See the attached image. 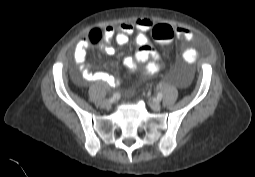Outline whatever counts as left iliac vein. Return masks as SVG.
I'll return each instance as SVG.
<instances>
[{
  "label": "left iliac vein",
  "instance_id": "obj_1",
  "mask_svg": "<svg viewBox=\"0 0 255 177\" xmlns=\"http://www.w3.org/2000/svg\"><path fill=\"white\" fill-rule=\"evenodd\" d=\"M150 107L152 108V110L154 111H159L161 109V104L159 102H151L150 103Z\"/></svg>",
  "mask_w": 255,
  "mask_h": 177
}]
</instances>
